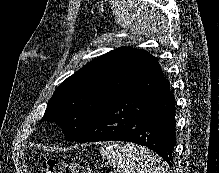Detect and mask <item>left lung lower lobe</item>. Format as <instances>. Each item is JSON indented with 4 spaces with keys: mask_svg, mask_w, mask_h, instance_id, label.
<instances>
[{
    "mask_svg": "<svg viewBox=\"0 0 219 173\" xmlns=\"http://www.w3.org/2000/svg\"><path fill=\"white\" fill-rule=\"evenodd\" d=\"M174 94L158 60L150 56L140 76L108 104L75 141H129L146 146L170 166L175 137Z\"/></svg>",
    "mask_w": 219,
    "mask_h": 173,
    "instance_id": "left-lung-lower-lobe-1",
    "label": "left lung lower lobe"
}]
</instances>
